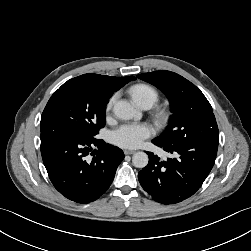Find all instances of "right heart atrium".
<instances>
[{
	"label": "right heart atrium",
	"mask_w": 251,
	"mask_h": 251,
	"mask_svg": "<svg viewBox=\"0 0 251 251\" xmlns=\"http://www.w3.org/2000/svg\"><path fill=\"white\" fill-rule=\"evenodd\" d=\"M115 100H116V95H112V96L109 98V100H108V102H107V104H106V112H107V113H109L110 110L112 109V107H113V105H114V103H115Z\"/></svg>",
	"instance_id": "obj_1"
}]
</instances>
